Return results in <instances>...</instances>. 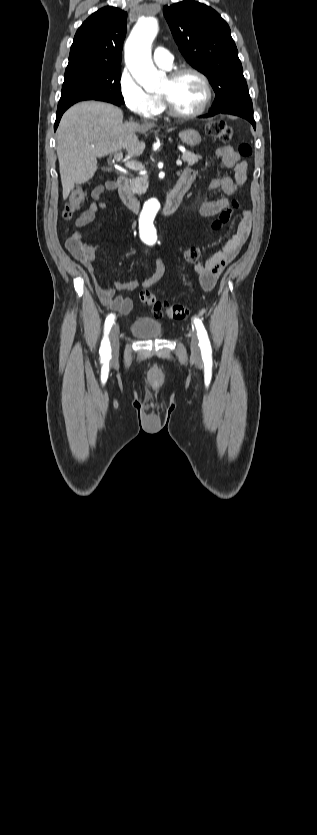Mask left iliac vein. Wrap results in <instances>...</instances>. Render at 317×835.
I'll return each instance as SVG.
<instances>
[{
  "label": "left iliac vein",
  "instance_id": "left-iliac-vein-1",
  "mask_svg": "<svg viewBox=\"0 0 317 835\" xmlns=\"http://www.w3.org/2000/svg\"><path fill=\"white\" fill-rule=\"evenodd\" d=\"M190 348L195 358L200 357L199 339L195 331H191L190 333Z\"/></svg>",
  "mask_w": 317,
  "mask_h": 835
}]
</instances>
